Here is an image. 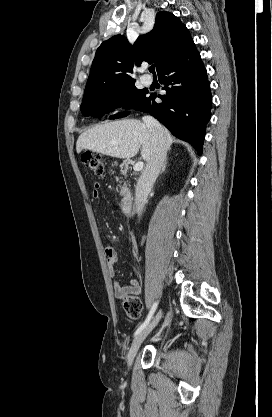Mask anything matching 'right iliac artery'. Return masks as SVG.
Listing matches in <instances>:
<instances>
[{"label":"right iliac artery","mask_w":272,"mask_h":417,"mask_svg":"<svg viewBox=\"0 0 272 417\" xmlns=\"http://www.w3.org/2000/svg\"><path fill=\"white\" fill-rule=\"evenodd\" d=\"M157 302H155L146 318V320L139 326V328L136 330L135 332V336L138 335L142 330H144L146 328V326L148 325L149 321L151 320L156 308H157Z\"/></svg>","instance_id":"right-iliac-artery-1"}]
</instances>
